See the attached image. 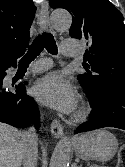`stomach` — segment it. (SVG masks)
I'll list each match as a JSON object with an SVG mask.
<instances>
[{
    "instance_id": "1",
    "label": "stomach",
    "mask_w": 125,
    "mask_h": 167,
    "mask_svg": "<svg viewBox=\"0 0 125 167\" xmlns=\"http://www.w3.org/2000/svg\"><path fill=\"white\" fill-rule=\"evenodd\" d=\"M77 156L83 160L106 162L118 150V140L106 130H95L78 136L73 142Z\"/></svg>"
}]
</instances>
